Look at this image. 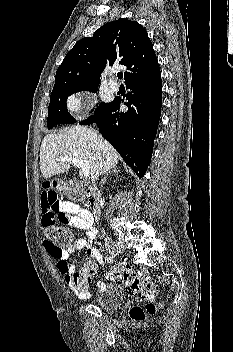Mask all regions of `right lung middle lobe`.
<instances>
[{
	"instance_id": "dd1d6c3e",
	"label": "right lung middle lobe",
	"mask_w": 233,
	"mask_h": 352,
	"mask_svg": "<svg viewBox=\"0 0 233 352\" xmlns=\"http://www.w3.org/2000/svg\"><path fill=\"white\" fill-rule=\"evenodd\" d=\"M98 85H64L54 87L50 97V104L48 107L47 126L52 129L55 125L75 123V119L68 113L66 100L67 97L74 92L88 90L96 92ZM106 103H100L98 109L103 108Z\"/></svg>"
}]
</instances>
